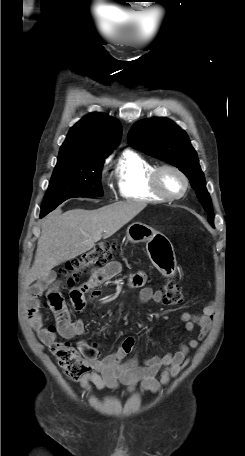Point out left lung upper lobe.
Instances as JSON below:
<instances>
[{
  "instance_id": "obj_1",
  "label": "left lung upper lobe",
  "mask_w": 245,
  "mask_h": 456,
  "mask_svg": "<svg viewBox=\"0 0 245 456\" xmlns=\"http://www.w3.org/2000/svg\"><path fill=\"white\" fill-rule=\"evenodd\" d=\"M128 142L132 147L179 168L188 177L200 203L209 214L208 222L214 227L211 198L197 153L179 126L166 118L143 120L129 130Z\"/></svg>"
}]
</instances>
